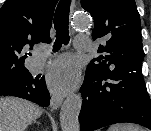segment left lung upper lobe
I'll use <instances>...</instances> for the list:
<instances>
[{
    "instance_id": "5c2ea615",
    "label": "left lung upper lobe",
    "mask_w": 151,
    "mask_h": 131,
    "mask_svg": "<svg viewBox=\"0 0 151 131\" xmlns=\"http://www.w3.org/2000/svg\"><path fill=\"white\" fill-rule=\"evenodd\" d=\"M82 7L94 18V40L102 38L97 58L87 72L97 77L112 75L142 67L144 51L141 21L134 0H81Z\"/></svg>"
}]
</instances>
